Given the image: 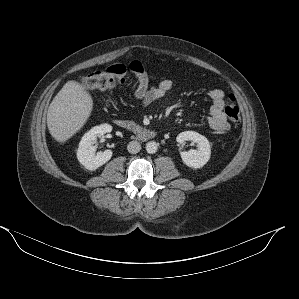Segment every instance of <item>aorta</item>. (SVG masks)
Wrapping results in <instances>:
<instances>
[{
	"mask_svg": "<svg viewBox=\"0 0 299 299\" xmlns=\"http://www.w3.org/2000/svg\"><path fill=\"white\" fill-rule=\"evenodd\" d=\"M158 150V144L154 141H150L146 144V151L149 153V154H154L156 153Z\"/></svg>",
	"mask_w": 299,
	"mask_h": 299,
	"instance_id": "aorta-1",
	"label": "aorta"
}]
</instances>
